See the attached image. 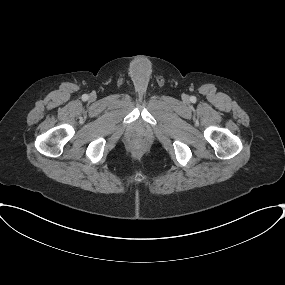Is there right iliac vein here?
Segmentation results:
<instances>
[{"instance_id":"1","label":"right iliac vein","mask_w":285,"mask_h":285,"mask_svg":"<svg viewBox=\"0 0 285 285\" xmlns=\"http://www.w3.org/2000/svg\"><path fill=\"white\" fill-rule=\"evenodd\" d=\"M90 99H94V96H91Z\"/></svg>"}]
</instances>
